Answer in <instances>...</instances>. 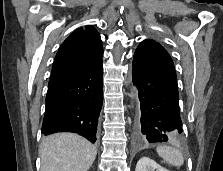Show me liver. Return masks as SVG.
Here are the masks:
<instances>
[{
  "mask_svg": "<svg viewBox=\"0 0 223 171\" xmlns=\"http://www.w3.org/2000/svg\"><path fill=\"white\" fill-rule=\"evenodd\" d=\"M97 154L96 147L72 133L48 136L39 147L40 171H88Z\"/></svg>",
  "mask_w": 223,
  "mask_h": 171,
  "instance_id": "6515ba94",
  "label": "liver"
}]
</instances>
